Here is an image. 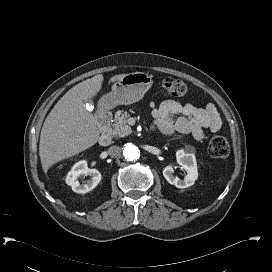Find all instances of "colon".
Segmentation results:
<instances>
[{
	"label": "colon",
	"mask_w": 272,
	"mask_h": 272,
	"mask_svg": "<svg viewBox=\"0 0 272 272\" xmlns=\"http://www.w3.org/2000/svg\"><path fill=\"white\" fill-rule=\"evenodd\" d=\"M165 96L172 98H182L189 93V87L186 83L172 78H164L161 82ZM229 144L227 140L215 135L209 142V152L213 157L224 158L229 154Z\"/></svg>",
	"instance_id": "1"
}]
</instances>
